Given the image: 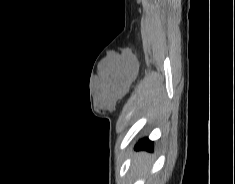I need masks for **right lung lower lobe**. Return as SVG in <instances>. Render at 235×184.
I'll list each match as a JSON object with an SVG mask.
<instances>
[{"label":"right lung lower lobe","instance_id":"obj_1","mask_svg":"<svg viewBox=\"0 0 235 184\" xmlns=\"http://www.w3.org/2000/svg\"><path fill=\"white\" fill-rule=\"evenodd\" d=\"M135 150H147V151H152L153 150V142L148 140L147 138H144L140 140L136 146Z\"/></svg>","mask_w":235,"mask_h":184}]
</instances>
